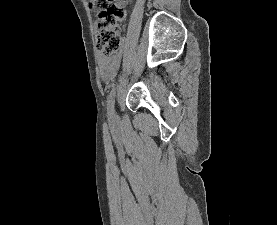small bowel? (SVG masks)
I'll return each mask as SVG.
<instances>
[{
  "mask_svg": "<svg viewBox=\"0 0 277 225\" xmlns=\"http://www.w3.org/2000/svg\"><path fill=\"white\" fill-rule=\"evenodd\" d=\"M122 53H117L112 56L99 55L98 68L100 76L103 80L107 81L112 79L121 63Z\"/></svg>",
  "mask_w": 277,
  "mask_h": 225,
  "instance_id": "small-bowel-1",
  "label": "small bowel"
}]
</instances>
